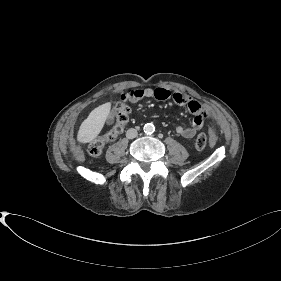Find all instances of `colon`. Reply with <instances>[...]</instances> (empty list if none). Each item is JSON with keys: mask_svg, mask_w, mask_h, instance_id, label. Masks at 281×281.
Masks as SVG:
<instances>
[{"mask_svg": "<svg viewBox=\"0 0 281 281\" xmlns=\"http://www.w3.org/2000/svg\"><path fill=\"white\" fill-rule=\"evenodd\" d=\"M116 124L108 131L102 138L92 141L88 146V153L93 157L101 155L104 146L108 142L116 140V138L121 134L125 124L128 122L130 109L128 105L123 102L117 104L116 107ZM208 139L205 134H200L197 136L195 145L198 149H204L207 146Z\"/></svg>", "mask_w": 281, "mask_h": 281, "instance_id": "1", "label": "colon"}]
</instances>
